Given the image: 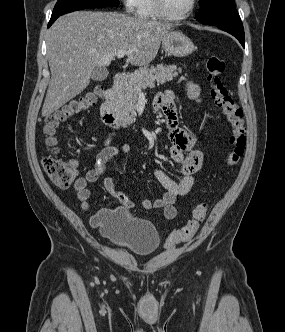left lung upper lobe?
<instances>
[{
  "label": "left lung upper lobe",
  "instance_id": "obj_1",
  "mask_svg": "<svg viewBox=\"0 0 285 332\" xmlns=\"http://www.w3.org/2000/svg\"><path fill=\"white\" fill-rule=\"evenodd\" d=\"M200 10L196 19L202 24L240 23L234 0H200Z\"/></svg>",
  "mask_w": 285,
  "mask_h": 332
}]
</instances>
